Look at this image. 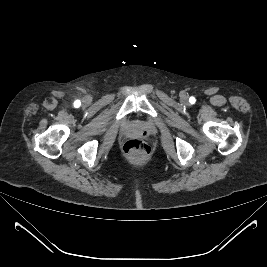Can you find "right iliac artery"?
Wrapping results in <instances>:
<instances>
[{
  "label": "right iliac artery",
  "mask_w": 267,
  "mask_h": 267,
  "mask_svg": "<svg viewBox=\"0 0 267 267\" xmlns=\"http://www.w3.org/2000/svg\"><path fill=\"white\" fill-rule=\"evenodd\" d=\"M76 106H80V101L79 100H77V101H75V103H74Z\"/></svg>",
  "instance_id": "obj_1"
}]
</instances>
